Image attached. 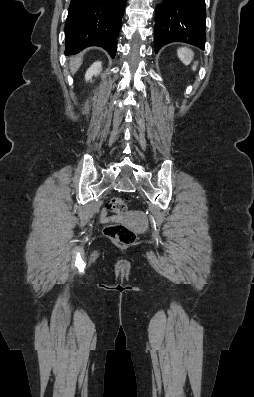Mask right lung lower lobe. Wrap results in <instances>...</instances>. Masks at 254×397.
<instances>
[{"instance_id":"1","label":"right lung lower lobe","mask_w":254,"mask_h":397,"mask_svg":"<svg viewBox=\"0 0 254 397\" xmlns=\"http://www.w3.org/2000/svg\"><path fill=\"white\" fill-rule=\"evenodd\" d=\"M125 4L126 0H71L65 25V55L99 46L114 58Z\"/></svg>"}]
</instances>
